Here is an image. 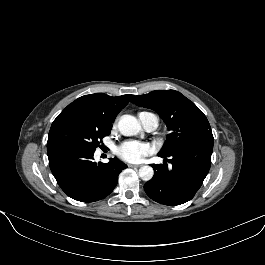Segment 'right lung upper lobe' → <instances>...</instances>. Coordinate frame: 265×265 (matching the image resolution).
<instances>
[{
	"instance_id": "obj_1",
	"label": "right lung upper lobe",
	"mask_w": 265,
	"mask_h": 265,
	"mask_svg": "<svg viewBox=\"0 0 265 265\" xmlns=\"http://www.w3.org/2000/svg\"><path fill=\"white\" fill-rule=\"evenodd\" d=\"M132 96L111 97L95 93L79 97L69 104L53 123L66 118H77L102 127H112L117 114L128 104Z\"/></svg>"
}]
</instances>
